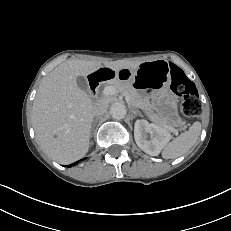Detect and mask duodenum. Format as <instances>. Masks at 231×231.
Returning a JSON list of instances; mask_svg holds the SVG:
<instances>
[{"instance_id":"obj_1","label":"duodenum","mask_w":231,"mask_h":231,"mask_svg":"<svg viewBox=\"0 0 231 231\" xmlns=\"http://www.w3.org/2000/svg\"><path fill=\"white\" fill-rule=\"evenodd\" d=\"M111 79L110 70L107 68H101L96 71L89 79V95L91 98L96 97V90L99 83L105 82Z\"/></svg>"}]
</instances>
